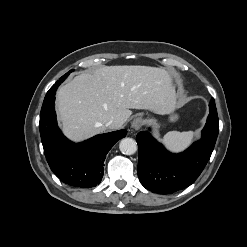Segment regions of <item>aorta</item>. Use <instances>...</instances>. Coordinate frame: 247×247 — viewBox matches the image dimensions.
I'll use <instances>...</instances> for the list:
<instances>
[{"label": "aorta", "instance_id": "1", "mask_svg": "<svg viewBox=\"0 0 247 247\" xmlns=\"http://www.w3.org/2000/svg\"><path fill=\"white\" fill-rule=\"evenodd\" d=\"M119 149L125 155H132L137 151V143L132 138H123L120 141Z\"/></svg>", "mask_w": 247, "mask_h": 247}]
</instances>
